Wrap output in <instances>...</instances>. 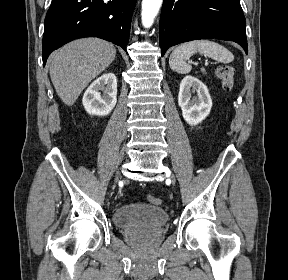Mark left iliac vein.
I'll return each instance as SVG.
<instances>
[{"label":"left iliac vein","instance_id":"obj_1","mask_svg":"<svg viewBox=\"0 0 288 280\" xmlns=\"http://www.w3.org/2000/svg\"><path fill=\"white\" fill-rule=\"evenodd\" d=\"M170 180H171L172 182H174V177H173V176H171V177H170Z\"/></svg>","mask_w":288,"mask_h":280}]
</instances>
